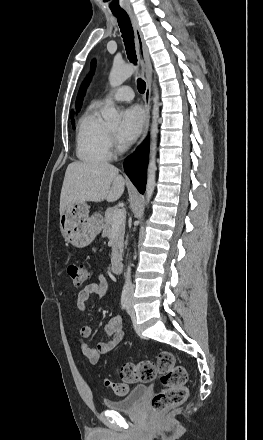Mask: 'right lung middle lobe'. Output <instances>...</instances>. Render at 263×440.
Instances as JSON below:
<instances>
[{"mask_svg": "<svg viewBox=\"0 0 263 440\" xmlns=\"http://www.w3.org/2000/svg\"><path fill=\"white\" fill-rule=\"evenodd\" d=\"M71 123L74 125V120H72Z\"/></svg>", "mask_w": 263, "mask_h": 440, "instance_id": "1", "label": "right lung middle lobe"}]
</instances>
